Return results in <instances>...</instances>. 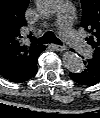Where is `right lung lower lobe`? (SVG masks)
Returning <instances> with one entry per match:
<instances>
[{
	"label": "right lung lower lobe",
	"mask_w": 100,
	"mask_h": 118,
	"mask_svg": "<svg viewBox=\"0 0 100 118\" xmlns=\"http://www.w3.org/2000/svg\"><path fill=\"white\" fill-rule=\"evenodd\" d=\"M44 50V45H38L33 53L27 57L25 63L18 70H14L9 73H3L1 75L11 82L20 83L28 81L37 73L36 60L40 53Z\"/></svg>",
	"instance_id": "1"
}]
</instances>
